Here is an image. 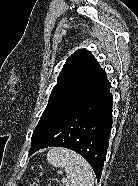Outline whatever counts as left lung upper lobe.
<instances>
[{
    "label": "left lung upper lobe",
    "instance_id": "obj_1",
    "mask_svg": "<svg viewBox=\"0 0 138 186\" xmlns=\"http://www.w3.org/2000/svg\"><path fill=\"white\" fill-rule=\"evenodd\" d=\"M107 79L105 71L86 49L72 54L57 78L47 107L33 131L31 144Z\"/></svg>",
    "mask_w": 138,
    "mask_h": 186
}]
</instances>
